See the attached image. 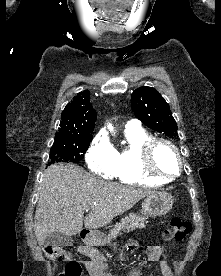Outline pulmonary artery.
Wrapping results in <instances>:
<instances>
[{
	"label": "pulmonary artery",
	"instance_id": "pulmonary-artery-1",
	"mask_svg": "<svg viewBox=\"0 0 221 276\" xmlns=\"http://www.w3.org/2000/svg\"><path fill=\"white\" fill-rule=\"evenodd\" d=\"M126 128H140V123L137 120H131L127 123Z\"/></svg>",
	"mask_w": 221,
	"mask_h": 276
}]
</instances>
